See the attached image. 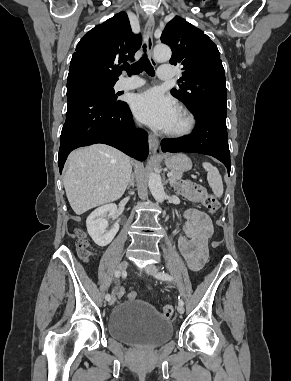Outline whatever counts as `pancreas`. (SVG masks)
Masks as SVG:
<instances>
[{
	"label": "pancreas",
	"instance_id": "cf45deb5",
	"mask_svg": "<svg viewBox=\"0 0 291 381\" xmlns=\"http://www.w3.org/2000/svg\"><path fill=\"white\" fill-rule=\"evenodd\" d=\"M171 173L173 175L172 177L169 178V181H170V184L174 186L177 183V181L181 179L182 172L172 171Z\"/></svg>",
	"mask_w": 291,
	"mask_h": 381
}]
</instances>
